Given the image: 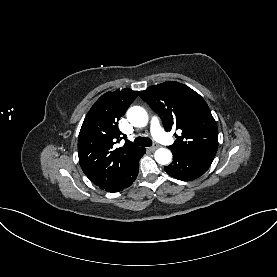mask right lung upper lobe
<instances>
[{
	"label": "right lung upper lobe",
	"mask_w": 277,
	"mask_h": 277,
	"mask_svg": "<svg viewBox=\"0 0 277 277\" xmlns=\"http://www.w3.org/2000/svg\"><path fill=\"white\" fill-rule=\"evenodd\" d=\"M138 94L131 89L105 93L82 124L78 138L79 163L85 175L101 189L117 180L143 149L133 147L118 128L119 119ZM121 139H125L124 146L115 148Z\"/></svg>",
	"instance_id": "cb5924a9"
}]
</instances>
